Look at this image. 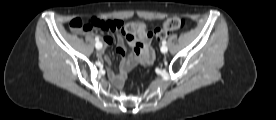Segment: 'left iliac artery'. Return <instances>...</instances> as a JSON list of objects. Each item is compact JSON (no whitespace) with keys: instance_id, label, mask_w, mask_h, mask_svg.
Instances as JSON below:
<instances>
[{"instance_id":"left-iliac-artery-1","label":"left iliac artery","mask_w":276,"mask_h":120,"mask_svg":"<svg viewBox=\"0 0 276 120\" xmlns=\"http://www.w3.org/2000/svg\"><path fill=\"white\" fill-rule=\"evenodd\" d=\"M166 43H167L166 40H163V41H162V45H163V46H165Z\"/></svg>"}]
</instances>
